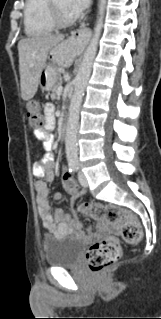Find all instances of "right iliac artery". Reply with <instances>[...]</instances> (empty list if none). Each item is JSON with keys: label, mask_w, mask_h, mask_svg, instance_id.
<instances>
[{"label": "right iliac artery", "mask_w": 161, "mask_h": 319, "mask_svg": "<svg viewBox=\"0 0 161 319\" xmlns=\"http://www.w3.org/2000/svg\"><path fill=\"white\" fill-rule=\"evenodd\" d=\"M77 170H78V166H77V165H72V166H70V168H69V171H70V172H77Z\"/></svg>", "instance_id": "right-iliac-artery-1"}]
</instances>
